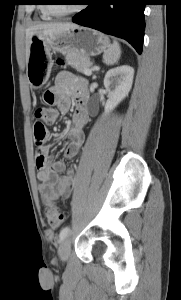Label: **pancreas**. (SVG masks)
I'll use <instances>...</instances> for the list:
<instances>
[{
	"label": "pancreas",
	"mask_w": 181,
	"mask_h": 300,
	"mask_svg": "<svg viewBox=\"0 0 181 300\" xmlns=\"http://www.w3.org/2000/svg\"><path fill=\"white\" fill-rule=\"evenodd\" d=\"M66 62L68 65L75 68L78 72L84 73L86 69H89L90 60L80 53L77 52H68L65 56Z\"/></svg>",
	"instance_id": "pancreas-1"
}]
</instances>
